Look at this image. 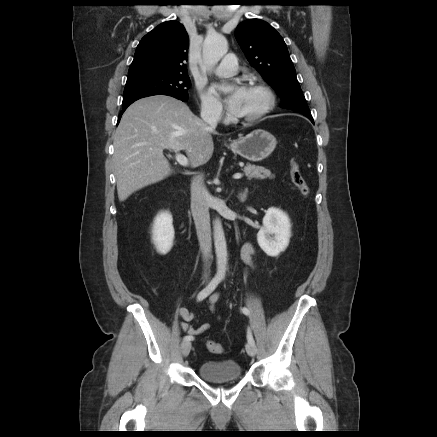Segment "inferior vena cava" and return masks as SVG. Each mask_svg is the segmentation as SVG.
I'll return each instance as SVG.
<instances>
[{"label":"inferior vena cava","instance_id":"1","mask_svg":"<svg viewBox=\"0 0 437 437\" xmlns=\"http://www.w3.org/2000/svg\"><path fill=\"white\" fill-rule=\"evenodd\" d=\"M220 115L221 111L213 108L201 112V118L211 129L216 128ZM209 198L210 194L204 186L202 176L198 175L191 183V212L206 267L212 249Z\"/></svg>","mask_w":437,"mask_h":437}]
</instances>
